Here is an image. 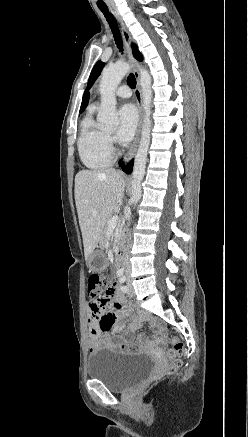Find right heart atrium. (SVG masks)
Masks as SVG:
<instances>
[{
	"label": "right heart atrium",
	"mask_w": 248,
	"mask_h": 437,
	"mask_svg": "<svg viewBox=\"0 0 248 437\" xmlns=\"http://www.w3.org/2000/svg\"><path fill=\"white\" fill-rule=\"evenodd\" d=\"M106 141H107L109 148L111 149L113 144H114V138L110 134H107Z\"/></svg>",
	"instance_id": "1"
}]
</instances>
